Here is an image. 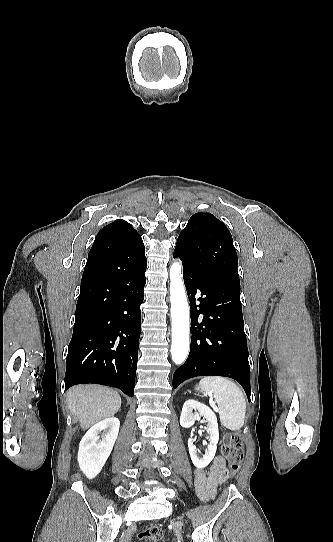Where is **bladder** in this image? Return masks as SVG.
<instances>
[{"label": "bladder", "mask_w": 333, "mask_h": 542, "mask_svg": "<svg viewBox=\"0 0 333 542\" xmlns=\"http://www.w3.org/2000/svg\"><path fill=\"white\" fill-rule=\"evenodd\" d=\"M145 542H163V541H162V540H159V539H157V540L151 539V540H147V541H145Z\"/></svg>", "instance_id": "31cf9c89"}]
</instances>
